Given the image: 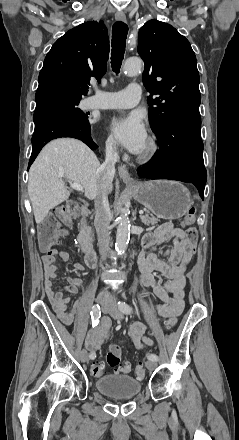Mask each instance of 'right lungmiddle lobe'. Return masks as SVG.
Masks as SVG:
<instances>
[{
	"mask_svg": "<svg viewBox=\"0 0 239 440\" xmlns=\"http://www.w3.org/2000/svg\"><path fill=\"white\" fill-rule=\"evenodd\" d=\"M81 97L55 96L36 102V108L43 106H57L68 111L72 116L81 121H88V113H84L76 106Z\"/></svg>",
	"mask_w": 239,
	"mask_h": 440,
	"instance_id": "obj_1",
	"label": "right lung middle lobe"
}]
</instances>
